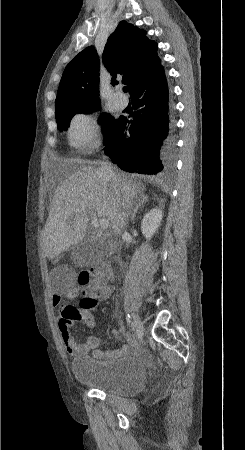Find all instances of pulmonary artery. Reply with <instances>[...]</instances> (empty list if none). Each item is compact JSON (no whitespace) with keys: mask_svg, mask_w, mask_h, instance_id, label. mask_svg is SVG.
I'll use <instances>...</instances> for the list:
<instances>
[{"mask_svg":"<svg viewBox=\"0 0 245 450\" xmlns=\"http://www.w3.org/2000/svg\"><path fill=\"white\" fill-rule=\"evenodd\" d=\"M113 101L116 104V106L120 109H123L127 106L128 100L126 96H124L122 91H118L113 96Z\"/></svg>","mask_w":245,"mask_h":450,"instance_id":"e3ab8cb5","label":"pulmonary artery"}]
</instances>
